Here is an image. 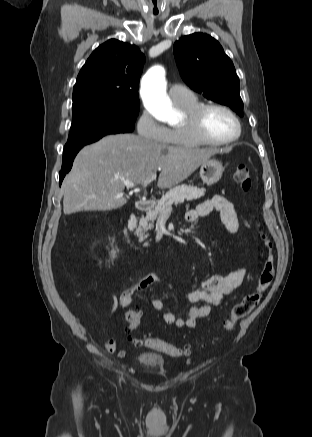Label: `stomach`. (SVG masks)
<instances>
[{
	"label": "stomach",
	"instance_id": "1",
	"mask_svg": "<svg viewBox=\"0 0 312 437\" xmlns=\"http://www.w3.org/2000/svg\"><path fill=\"white\" fill-rule=\"evenodd\" d=\"M223 171L221 162L209 158L201 164L200 177L205 184L212 185L221 179Z\"/></svg>",
	"mask_w": 312,
	"mask_h": 437
}]
</instances>
